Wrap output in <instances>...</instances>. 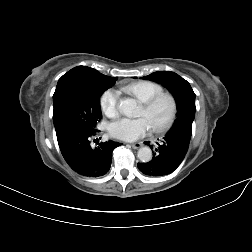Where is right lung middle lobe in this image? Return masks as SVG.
Returning a JSON list of instances; mask_svg holds the SVG:
<instances>
[{
	"label": "right lung middle lobe",
	"mask_w": 252,
	"mask_h": 252,
	"mask_svg": "<svg viewBox=\"0 0 252 252\" xmlns=\"http://www.w3.org/2000/svg\"><path fill=\"white\" fill-rule=\"evenodd\" d=\"M112 85L94 77L74 78L58 83L53 95L56 133L67 128L96 130L102 117L100 96Z\"/></svg>",
	"instance_id": "dd1d6c3e"
}]
</instances>
